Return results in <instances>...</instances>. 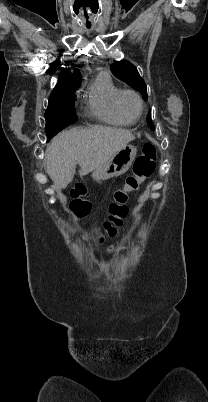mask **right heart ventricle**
I'll list each match as a JSON object with an SVG mask.
<instances>
[{"mask_svg":"<svg viewBox=\"0 0 208 402\" xmlns=\"http://www.w3.org/2000/svg\"><path fill=\"white\" fill-rule=\"evenodd\" d=\"M119 89L106 72L100 73L87 91V103L91 114L104 125L124 128L133 123L120 117L114 107Z\"/></svg>","mask_w":208,"mask_h":402,"instance_id":"e07e8e85","label":"right heart ventricle"}]
</instances>
